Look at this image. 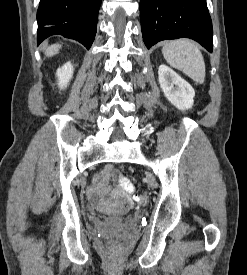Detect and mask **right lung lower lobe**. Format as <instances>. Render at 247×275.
<instances>
[{
    "instance_id": "98d812e1",
    "label": "right lung lower lobe",
    "mask_w": 247,
    "mask_h": 275,
    "mask_svg": "<svg viewBox=\"0 0 247 275\" xmlns=\"http://www.w3.org/2000/svg\"><path fill=\"white\" fill-rule=\"evenodd\" d=\"M102 0H40L37 11V44L52 35H62L89 49L96 34Z\"/></svg>"
}]
</instances>
